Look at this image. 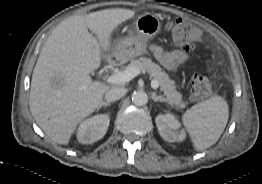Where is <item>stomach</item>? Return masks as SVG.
I'll return each instance as SVG.
<instances>
[{"label":"stomach","instance_id":"0dacf381","mask_svg":"<svg viewBox=\"0 0 262 184\" xmlns=\"http://www.w3.org/2000/svg\"><path fill=\"white\" fill-rule=\"evenodd\" d=\"M161 28V21L157 15L152 13L139 15L133 22V34L117 42L112 56L126 61L145 54L147 44L161 31Z\"/></svg>","mask_w":262,"mask_h":184}]
</instances>
